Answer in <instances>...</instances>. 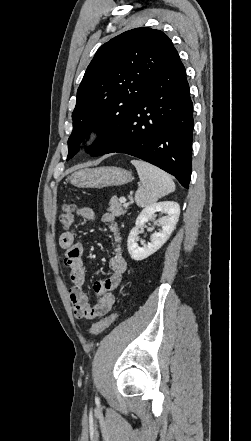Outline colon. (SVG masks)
<instances>
[{"label": "colon", "instance_id": "1", "mask_svg": "<svg viewBox=\"0 0 251 441\" xmlns=\"http://www.w3.org/2000/svg\"><path fill=\"white\" fill-rule=\"evenodd\" d=\"M62 213L59 216V222L64 229H69L74 222L76 204L73 200H68L62 207ZM117 318V314L113 313L98 322L94 323L90 328V334L96 336L102 331L110 327Z\"/></svg>", "mask_w": 251, "mask_h": 441}]
</instances>
